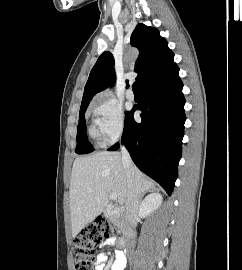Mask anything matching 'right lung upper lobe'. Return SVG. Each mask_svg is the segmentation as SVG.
Masks as SVG:
<instances>
[{"label":"right lung upper lobe","instance_id":"right-lung-upper-lobe-1","mask_svg":"<svg viewBox=\"0 0 242 270\" xmlns=\"http://www.w3.org/2000/svg\"><path fill=\"white\" fill-rule=\"evenodd\" d=\"M130 43L139 50L135 72L138 73L136 80L141 87L151 76L173 60L174 54L168 48L167 41L155 28L138 24L131 35ZM114 82V58L111 52L106 51L98 58L90 72L80 109L87 108L97 92L113 86Z\"/></svg>","mask_w":242,"mask_h":270}]
</instances>
